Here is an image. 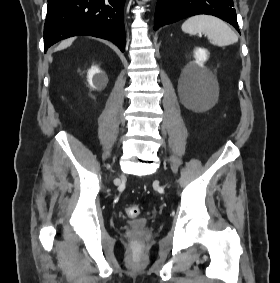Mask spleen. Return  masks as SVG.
I'll return each mask as SVG.
<instances>
[{
	"mask_svg": "<svg viewBox=\"0 0 280 283\" xmlns=\"http://www.w3.org/2000/svg\"><path fill=\"white\" fill-rule=\"evenodd\" d=\"M182 31L195 35L203 33L210 43L223 47L238 41L236 33L222 20L210 15H196L182 24Z\"/></svg>",
	"mask_w": 280,
	"mask_h": 283,
	"instance_id": "spleen-1",
	"label": "spleen"
}]
</instances>
